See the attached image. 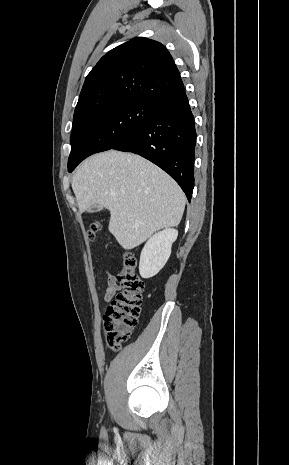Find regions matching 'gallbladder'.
Returning a JSON list of instances; mask_svg holds the SVG:
<instances>
[{"mask_svg": "<svg viewBox=\"0 0 289 465\" xmlns=\"http://www.w3.org/2000/svg\"><path fill=\"white\" fill-rule=\"evenodd\" d=\"M101 209H102V207H100L99 205H92L87 209V211L90 212V213H93V212H98Z\"/></svg>", "mask_w": 289, "mask_h": 465, "instance_id": "obj_1", "label": "gallbladder"}]
</instances>
